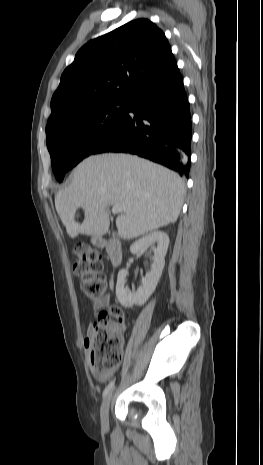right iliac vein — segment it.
<instances>
[{"label":"right iliac vein","instance_id":"63e3f726","mask_svg":"<svg viewBox=\"0 0 263 465\" xmlns=\"http://www.w3.org/2000/svg\"><path fill=\"white\" fill-rule=\"evenodd\" d=\"M113 392H110L104 399L101 406V424L104 429H107L109 426V407L112 399Z\"/></svg>","mask_w":263,"mask_h":465}]
</instances>
